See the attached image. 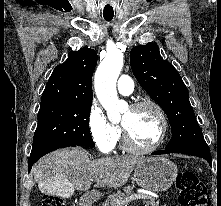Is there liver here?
Listing matches in <instances>:
<instances>
[{
    "label": "liver",
    "mask_w": 221,
    "mask_h": 206,
    "mask_svg": "<svg viewBox=\"0 0 221 206\" xmlns=\"http://www.w3.org/2000/svg\"><path fill=\"white\" fill-rule=\"evenodd\" d=\"M145 159L139 157H103L89 159L82 148L63 149L40 159L33 167L34 180L42 193L51 189L52 183H63L68 196L74 190L85 191L93 181L100 186L120 187L124 185L133 169Z\"/></svg>",
    "instance_id": "obj_1"
}]
</instances>
